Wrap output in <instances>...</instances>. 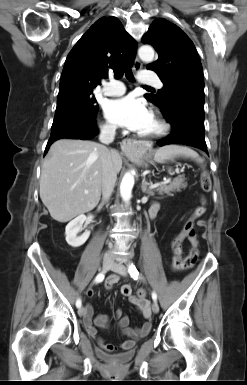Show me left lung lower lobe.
Listing matches in <instances>:
<instances>
[{
    "instance_id": "obj_1",
    "label": "left lung lower lobe",
    "mask_w": 247,
    "mask_h": 385,
    "mask_svg": "<svg viewBox=\"0 0 247 385\" xmlns=\"http://www.w3.org/2000/svg\"><path fill=\"white\" fill-rule=\"evenodd\" d=\"M171 124L172 133L157 141L159 146L184 144L206 150L204 138V109L187 104L175 105L173 110L164 115Z\"/></svg>"
}]
</instances>
